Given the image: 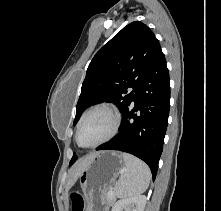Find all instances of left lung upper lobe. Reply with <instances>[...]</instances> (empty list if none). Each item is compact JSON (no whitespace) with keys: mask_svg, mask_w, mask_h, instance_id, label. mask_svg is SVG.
Listing matches in <instances>:
<instances>
[{"mask_svg":"<svg viewBox=\"0 0 221 211\" xmlns=\"http://www.w3.org/2000/svg\"><path fill=\"white\" fill-rule=\"evenodd\" d=\"M160 51V44L148 26L137 21L125 26L90 62L74 124L87 107L98 102H113L124 114ZM75 159L73 156L70 166Z\"/></svg>","mask_w":221,"mask_h":211,"instance_id":"5c2ea615","label":"left lung upper lobe"}]
</instances>
